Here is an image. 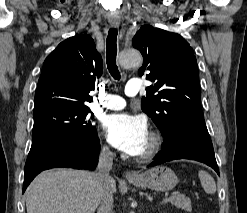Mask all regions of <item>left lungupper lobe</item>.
<instances>
[{"label": "left lung upper lobe", "mask_w": 247, "mask_h": 213, "mask_svg": "<svg viewBox=\"0 0 247 213\" xmlns=\"http://www.w3.org/2000/svg\"><path fill=\"white\" fill-rule=\"evenodd\" d=\"M144 62L139 75L154 82L146 88L141 108L164 137L181 122H204L199 73L194 51L179 34L143 25L133 38Z\"/></svg>", "instance_id": "5c2ea615"}]
</instances>
